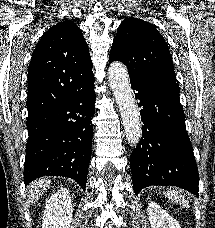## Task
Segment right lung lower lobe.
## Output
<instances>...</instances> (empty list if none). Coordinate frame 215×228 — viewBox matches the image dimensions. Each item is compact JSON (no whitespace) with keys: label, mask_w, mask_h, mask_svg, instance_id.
<instances>
[{"label":"right lung lower lobe","mask_w":215,"mask_h":228,"mask_svg":"<svg viewBox=\"0 0 215 228\" xmlns=\"http://www.w3.org/2000/svg\"><path fill=\"white\" fill-rule=\"evenodd\" d=\"M94 75L70 84L67 98L27 120L25 186L42 176L74 179L83 190L91 158Z\"/></svg>","instance_id":"1"}]
</instances>
